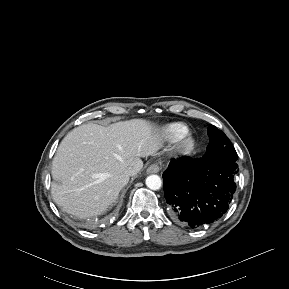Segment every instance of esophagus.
Masks as SVG:
<instances>
[{"label": "esophagus", "mask_w": 289, "mask_h": 289, "mask_svg": "<svg viewBox=\"0 0 289 289\" xmlns=\"http://www.w3.org/2000/svg\"><path fill=\"white\" fill-rule=\"evenodd\" d=\"M159 171H160V166L156 163L151 164L146 170L148 174L158 173Z\"/></svg>", "instance_id": "esophagus-1"}]
</instances>
